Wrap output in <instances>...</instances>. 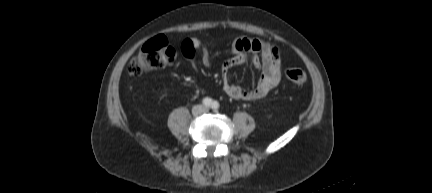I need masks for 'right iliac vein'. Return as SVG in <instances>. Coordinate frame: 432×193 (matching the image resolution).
Instances as JSON below:
<instances>
[{
	"label": "right iliac vein",
	"mask_w": 432,
	"mask_h": 193,
	"mask_svg": "<svg viewBox=\"0 0 432 193\" xmlns=\"http://www.w3.org/2000/svg\"><path fill=\"white\" fill-rule=\"evenodd\" d=\"M201 112V109L200 108H197L196 110H195V113L196 114H198V113H200Z\"/></svg>",
	"instance_id": "1"
}]
</instances>
